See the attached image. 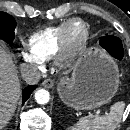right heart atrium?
I'll use <instances>...</instances> for the list:
<instances>
[{
    "instance_id": "d8ad5b80",
    "label": "right heart atrium",
    "mask_w": 130,
    "mask_h": 130,
    "mask_svg": "<svg viewBox=\"0 0 130 130\" xmlns=\"http://www.w3.org/2000/svg\"><path fill=\"white\" fill-rule=\"evenodd\" d=\"M21 58L23 61L30 63V64H36L37 66L40 67L39 61H37L35 58H33L30 54L27 53H22Z\"/></svg>"
}]
</instances>
